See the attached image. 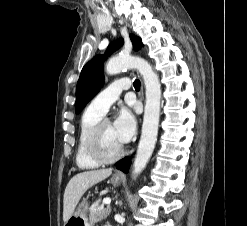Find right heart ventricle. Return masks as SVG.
Wrapping results in <instances>:
<instances>
[{
    "mask_svg": "<svg viewBox=\"0 0 247 226\" xmlns=\"http://www.w3.org/2000/svg\"><path fill=\"white\" fill-rule=\"evenodd\" d=\"M103 115L88 107L80 120L79 132L76 145V164L80 169H93L99 166V163L92 160L86 150L87 136L92 128L101 121Z\"/></svg>",
    "mask_w": 247,
    "mask_h": 226,
    "instance_id": "e07e8e85",
    "label": "right heart ventricle"
}]
</instances>
